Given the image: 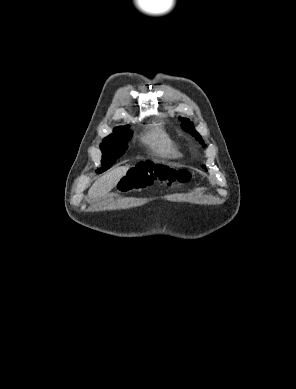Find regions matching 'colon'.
<instances>
[{
	"instance_id": "1",
	"label": "colon",
	"mask_w": 296,
	"mask_h": 389,
	"mask_svg": "<svg viewBox=\"0 0 296 389\" xmlns=\"http://www.w3.org/2000/svg\"><path fill=\"white\" fill-rule=\"evenodd\" d=\"M190 175L185 170H177L165 165L152 162H141L132 167L120 185L122 192L140 190L161 183L166 185H180L189 182Z\"/></svg>"
}]
</instances>
